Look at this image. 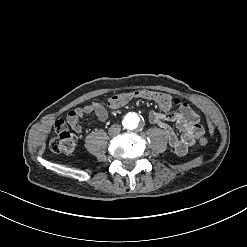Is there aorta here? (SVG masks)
<instances>
[{
	"label": "aorta",
	"mask_w": 247,
	"mask_h": 247,
	"mask_svg": "<svg viewBox=\"0 0 247 247\" xmlns=\"http://www.w3.org/2000/svg\"><path fill=\"white\" fill-rule=\"evenodd\" d=\"M139 117L136 115L130 116L125 119V127L128 129H134L138 126Z\"/></svg>",
	"instance_id": "1"
}]
</instances>
